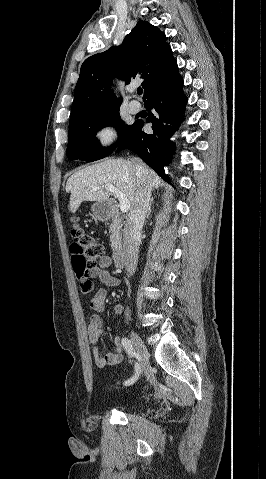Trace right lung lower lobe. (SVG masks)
I'll use <instances>...</instances> for the list:
<instances>
[{"mask_svg": "<svg viewBox=\"0 0 266 479\" xmlns=\"http://www.w3.org/2000/svg\"><path fill=\"white\" fill-rule=\"evenodd\" d=\"M182 86L183 79L178 75L151 92L144 102L149 111L146 122L152 123L153 134L144 133V122L137 120L117 150L129 149L138 154L166 181H169V178L165 174L164 166L171 160L175 149L169 138L178 129L187 103ZM151 109L156 112L151 113Z\"/></svg>", "mask_w": 266, "mask_h": 479, "instance_id": "obj_1", "label": "right lung lower lobe"}]
</instances>
